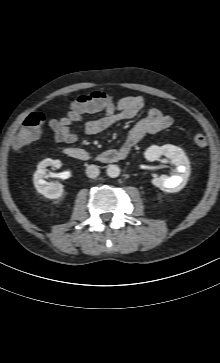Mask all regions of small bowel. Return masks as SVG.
I'll return each instance as SVG.
<instances>
[{"instance_id":"1","label":"small bowel","mask_w":220,"mask_h":363,"mask_svg":"<svg viewBox=\"0 0 220 363\" xmlns=\"http://www.w3.org/2000/svg\"><path fill=\"white\" fill-rule=\"evenodd\" d=\"M146 108L145 100L140 96H126L118 101L110 100L101 104L90 95L82 96V100L74 103L73 107L62 117L50 120L54 138L58 142L75 144L78 136L71 132L74 123H82L85 133L95 135L101 133L120 121L129 120ZM103 113L98 119L84 120L86 115ZM173 125V118L164 114L158 108H149L129 130L124 148L132 149L146 134H154Z\"/></svg>"}]
</instances>
